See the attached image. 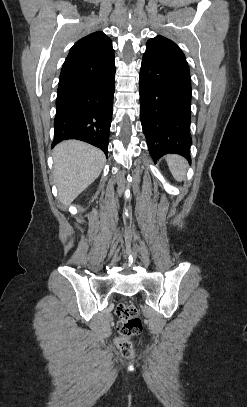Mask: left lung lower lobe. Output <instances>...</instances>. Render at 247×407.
Segmentation results:
<instances>
[{
  "label": "left lung lower lobe",
  "mask_w": 247,
  "mask_h": 407,
  "mask_svg": "<svg viewBox=\"0 0 247 407\" xmlns=\"http://www.w3.org/2000/svg\"><path fill=\"white\" fill-rule=\"evenodd\" d=\"M140 118L151 156L190 162L191 78L186 63L145 52L139 76Z\"/></svg>",
  "instance_id": "1"
}]
</instances>
